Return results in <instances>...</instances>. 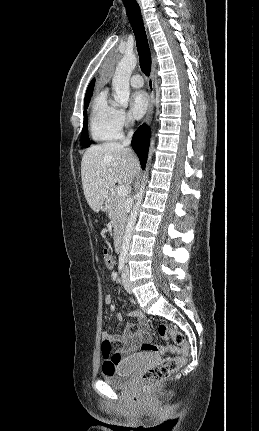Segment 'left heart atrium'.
Segmentation results:
<instances>
[{"label": "left heart atrium", "mask_w": 259, "mask_h": 431, "mask_svg": "<svg viewBox=\"0 0 259 431\" xmlns=\"http://www.w3.org/2000/svg\"><path fill=\"white\" fill-rule=\"evenodd\" d=\"M149 106L148 95L144 91H136L131 97V112L132 115L140 119L144 116Z\"/></svg>", "instance_id": "left-heart-atrium-1"}]
</instances>
